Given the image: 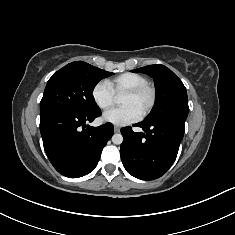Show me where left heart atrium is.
<instances>
[{"label": "left heart atrium", "mask_w": 235, "mask_h": 235, "mask_svg": "<svg viewBox=\"0 0 235 235\" xmlns=\"http://www.w3.org/2000/svg\"><path fill=\"white\" fill-rule=\"evenodd\" d=\"M106 122L117 126H124L140 119V113L130 105L112 108L103 114Z\"/></svg>", "instance_id": "39dd6f15"}]
</instances>
